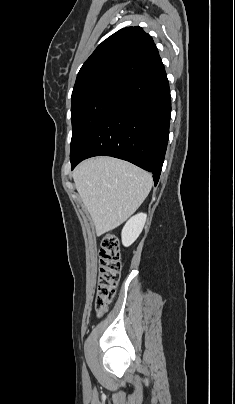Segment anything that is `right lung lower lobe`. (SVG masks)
Instances as JSON below:
<instances>
[{"label":"right lung lower lobe","instance_id":"98d812e1","mask_svg":"<svg viewBox=\"0 0 235 404\" xmlns=\"http://www.w3.org/2000/svg\"><path fill=\"white\" fill-rule=\"evenodd\" d=\"M171 97L164 65L127 83L119 100L70 154L72 169L106 155L153 173L157 185L169 137Z\"/></svg>","mask_w":235,"mask_h":404}]
</instances>
